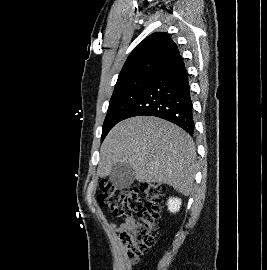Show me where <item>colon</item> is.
Segmentation results:
<instances>
[{
  "mask_svg": "<svg viewBox=\"0 0 267 270\" xmlns=\"http://www.w3.org/2000/svg\"><path fill=\"white\" fill-rule=\"evenodd\" d=\"M164 186L157 183H143L140 187L123 189L108 181L100 183L97 200L115 216L138 218L120 231V239L130 260L137 262L155 243L158 233Z\"/></svg>",
  "mask_w": 267,
  "mask_h": 270,
  "instance_id": "colon-1",
  "label": "colon"
}]
</instances>
